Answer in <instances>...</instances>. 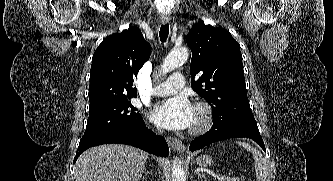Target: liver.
I'll use <instances>...</instances> for the list:
<instances>
[{
	"label": "liver",
	"instance_id": "6515ba94",
	"mask_svg": "<svg viewBox=\"0 0 333 181\" xmlns=\"http://www.w3.org/2000/svg\"><path fill=\"white\" fill-rule=\"evenodd\" d=\"M148 153L105 144L86 150L75 164L76 181H140Z\"/></svg>",
	"mask_w": 333,
	"mask_h": 181
}]
</instances>
